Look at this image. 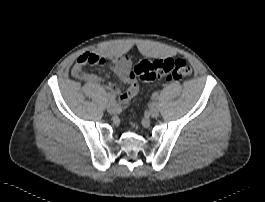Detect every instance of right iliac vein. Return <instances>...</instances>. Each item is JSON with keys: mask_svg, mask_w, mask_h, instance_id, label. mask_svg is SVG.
<instances>
[{"mask_svg": "<svg viewBox=\"0 0 265 202\" xmlns=\"http://www.w3.org/2000/svg\"><path fill=\"white\" fill-rule=\"evenodd\" d=\"M107 111L110 114L116 113L118 111V104L115 101L109 102V104L107 105Z\"/></svg>", "mask_w": 265, "mask_h": 202, "instance_id": "right-iliac-vein-1", "label": "right iliac vein"}]
</instances>
